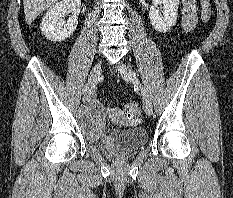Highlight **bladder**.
Wrapping results in <instances>:
<instances>
[{
	"mask_svg": "<svg viewBox=\"0 0 233 198\" xmlns=\"http://www.w3.org/2000/svg\"><path fill=\"white\" fill-rule=\"evenodd\" d=\"M106 115L102 105L93 103L80 118L84 134L102 150L113 156H126L146 144L148 135L143 127L108 130Z\"/></svg>",
	"mask_w": 233,
	"mask_h": 198,
	"instance_id": "1",
	"label": "bladder"
}]
</instances>
